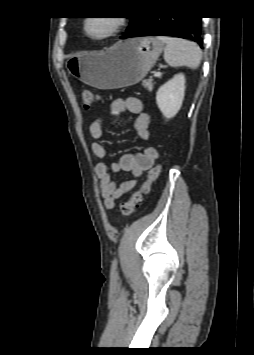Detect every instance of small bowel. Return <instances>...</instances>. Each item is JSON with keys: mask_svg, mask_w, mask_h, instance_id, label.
<instances>
[{"mask_svg": "<svg viewBox=\"0 0 254 355\" xmlns=\"http://www.w3.org/2000/svg\"><path fill=\"white\" fill-rule=\"evenodd\" d=\"M125 111L136 116L133 127L138 139L148 141L150 139V117L143 112L142 101L136 97L117 98L112 101L110 105L112 116L120 115ZM89 133L92 139L93 154L99 159H105L107 150L102 143L104 138L103 121L94 120L90 124ZM158 157L159 153L156 148L146 147L142 152L125 153L120 156L117 162L111 164L99 162L95 167V173L100 180V192L105 209H113L117 199L132 191L137 185L138 179L155 164ZM120 171L129 172L131 177L118 184L113 180L112 175Z\"/></svg>", "mask_w": 254, "mask_h": 355, "instance_id": "1", "label": "small bowel"}]
</instances>
